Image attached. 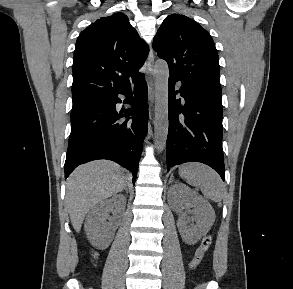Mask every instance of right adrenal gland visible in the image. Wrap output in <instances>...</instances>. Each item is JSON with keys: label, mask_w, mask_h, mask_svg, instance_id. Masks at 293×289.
<instances>
[{"label": "right adrenal gland", "mask_w": 293, "mask_h": 289, "mask_svg": "<svg viewBox=\"0 0 293 289\" xmlns=\"http://www.w3.org/2000/svg\"><path fill=\"white\" fill-rule=\"evenodd\" d=\"M123 190H125L126 193H128V188H127V186H125V187L123 188ZM123 190H122V191H123ZM122 191H121V192H122Z\"/></svg>", "instance_id": "2a0ac1e0"}]
</instances>
